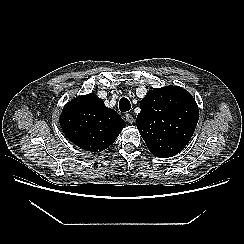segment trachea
<instances>
[{
	"label": "trachea",
	"instance_id": "3493384b",
	"mask_svg": "<svg viewBox=\"0 0 244 244\" xmlns=\"http://www.w3.org/2000/svg\"><path fill=\"white\" fill-rule=\"evenodd\" d=\"M130 108H131L130 101L125 97L121 98L120 102H119L120 111L126 112V111H129Z\"/></svg>",
	"mask_w": 244,
	"mask_h": 244
}]
</instances>
